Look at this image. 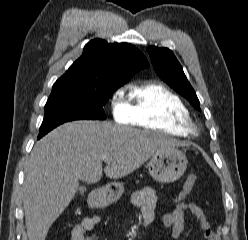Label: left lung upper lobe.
Segmentation results:
<instances>
[{"label":"left lung upper lobe","mask_w":248,"mask_h":240,"mask_svg":"<svg viewBox=\"0 0 248 240\" xmlns=\"http://www.w3.org/2000/svg\"><path fill=\"white\" fill-rule=\"evenodd\" d=\"M147 51L157 75L184 96L197 110H200V103L196 93L173 52L168 48L155 46L148 47Z\"/></svg>","instance_id":"5c2ea615"}]
</instances>
